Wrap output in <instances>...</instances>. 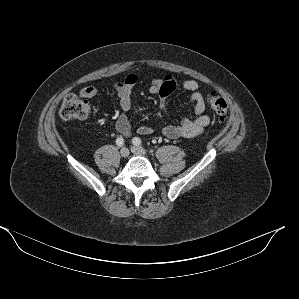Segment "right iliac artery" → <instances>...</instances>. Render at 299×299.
<instances>
[{
	"label": "right iliac artery",
	"instance_id": "right-iliac-artery-1",
	"mask_svg": "<svg viewBox=\"0 0 299 299\" xmlns=\"http://www.w3.org/2000/svg\"><path fill=\"white\" fill-rule=\"evenodd\" d=\"M116 144H117L118 146H122V145L124 144V139L121 138V137H118V138L116 139Z\"/></svg>",
	"mask_w": 299,
	"mask_h": 299
}]
</instances>
